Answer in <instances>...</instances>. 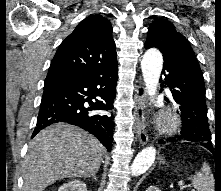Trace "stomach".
Segmentation results:
<instances>
[{"label": "stomach", "instance_id": "0dacf381", "mask_svg": "<svg viewBox=\"0 0 221 191\" xmlns=\"http://www.w3.org/2000/svg\"><path fill=\"white\" fill-rule=\"evenodd\" d=\"M163 162H164V160H163V158H161V159H160V163H163Z\"/></svg>", "mask_w": 221, "mask_h": 191}]
</instances>
